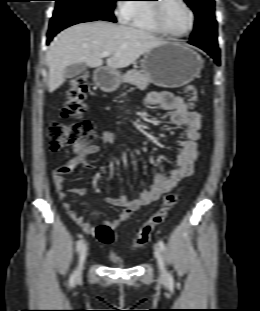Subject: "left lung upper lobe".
Instances as JSON below:
<instances>
[{
  "label": "left lung upper lobe",
  "mask_w": 260,
  "mask_h": 311,
  "mask_svg": "<svg viewBox=\"0 0 260 311\" xmlns=\"http://www.w3.org/2000/svg\"><path fill=\"white\" fill-rule=\"evenodd\" d=\"M196 15L190 41L217 46V22L214 15V0H184Z\"/></svg>",
  "instance_id": "obj_1"
}]
</instances>
